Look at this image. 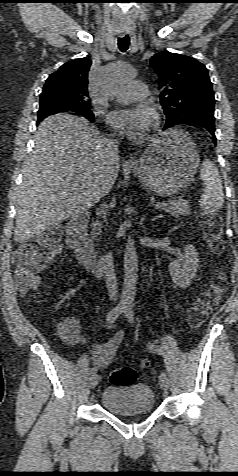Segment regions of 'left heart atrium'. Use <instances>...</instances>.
<instances>
[{
	"label": "left heart atrium",
	"mask_w": 238,
	"mask_h": 476,
	"mask_svg": "<svg viewBox=\"0 0 238 476\" xmlns=\"http://www.w3.org/2000/svg\"><path fill=\"white\" fill-rule=\"evenodd\" d=\"M108 122L122 134L140 138L153 124V111L145 105L112 111Z\"/></svg>",
	"instance_id": "1"
}]
</instances>
